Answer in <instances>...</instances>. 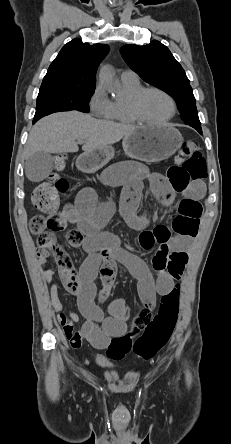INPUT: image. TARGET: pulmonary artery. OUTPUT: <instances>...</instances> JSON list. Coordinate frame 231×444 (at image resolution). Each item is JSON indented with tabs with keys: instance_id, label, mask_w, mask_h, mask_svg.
<instances>
[{
	"instance_id": "1",
	"label": "pulmonary artery",
	"mask_w": 231,
	"mask_h": 444,
	"mask_svg": "<svg viewBox=\"0 0 231 444\" xmlns=\"http://www.w3.org/2000/svg\"><path fill=\"white\" fill-rule=\"evenodd\" d=\"M120 78L123 80H137L138 76L135 72L126 70L121 73Z\"/></svg>"
}]
</instances>
